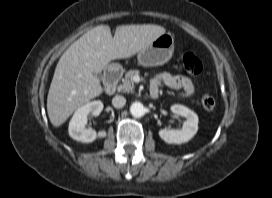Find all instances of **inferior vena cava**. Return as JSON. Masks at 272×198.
I'll use <instances>...</instances> for the list:
<instances>
[{"label":"inferior vena cava","mask_w":272,"mask_h":198,"mask_svg":"<svg viewBox=\"0 0 272 198\" xmlns=\"http://www.w3.org/2000/svg\"><path fill=\"white\" fill-rule=\"evenodd\" d=\"M112 104L115 108H122L124 107V105L126 104V99L125 97L121 96V95H116L113 99H112Z\"/></svg>","instance_id":"602c4592"}]
</instances>
